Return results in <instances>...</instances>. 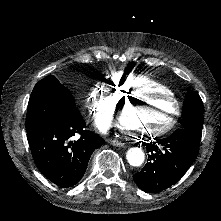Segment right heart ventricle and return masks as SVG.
<instances>
[{
  "mask_svg": "<svg viewBox=\"0 0 221 221\" xmlns=\"http://www.w3.org/2000/svg\"><path fill=\"white\" fill-rule=\"evenodd\" d=\"M115 84L124 97L137 96L140 98L142 95H149L152 92H156L158 95H164L167 92V87L155 79L138 78L125 72H119L116 75Z\"/></svg>",
  "mask_w": 221,
  "mask_h": 221,
  "instance_id": "right-heart-ventricle-1",
  "label": "right heart ventricle"
}]
</instances>
